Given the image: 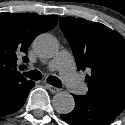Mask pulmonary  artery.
Segmentation results:
<instances>
[{"label": "pulmonary artery", "mask_w": 125, "mask_h": 125, "mask_svg": "<svg viewBox=\"0 0 125 125\" xmlns=\"http://www.w3.org/2000/svg\"><path fill=\"white\" fill-rule=\"evenodd\" d=\"M49 69L59 70L61 77L71 91L80 93L85 89L84 84L79 80L75 73L74 60L70 52L66 50L61 51L49 63Z\"/></svg>", "instance_id": "1"}]
</instances>
